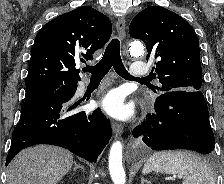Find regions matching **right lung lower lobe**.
I'll return each instance as SVG.
<instances>
[{
	"mask_svg": "<svg viewBox=\"0 0 224 184\" xmlns=\"http://www.w3.org/2000/svg\"><path fill=\"white\" fill-rule=\"evenodd\" d=\"M76 89L77 84L66 85L25 100L12 134L6 166L22 149L37 144L60 146L96 162L111 138V125L101 111L88 114L75 110L78 103L71 98Z\"/></svg>",
	"mask_w": 224,
	"mask_h": 184,
	"instance_id": "obj_1",
	"label": "right lung lower lobe"
}]
</instances>
